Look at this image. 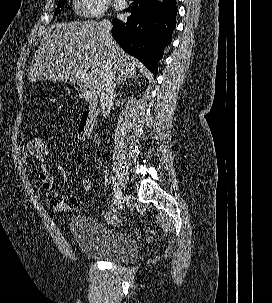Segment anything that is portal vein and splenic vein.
<instances>
[{"label":"portal vein and splenic vein","instance_id":"obj_1","mask_svg":"<svg viewBox=\"0 0 272 303\" xmlns=\"http://www.w3.org/2000/svg\"><path fill=\"white\" fill-rule=\"evenodd\" d=\"M77 78L81 83H86L89 80V77L85 73H78Z\"/></svg>","mask_w":272,"mask_h":303}]
</instances>
